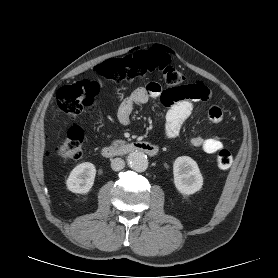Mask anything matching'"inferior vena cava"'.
Wrapping results in <instances>:
<instances>
[{"label":"inferior vena cava","mask_w":278,"mask_h":278,"mask_svg":"<svg viewBox=\"0 0 278 278\" xmlns=\"http://www.w3.org/2000/svg\"><path fill=\"white\" fill-rule=\"evenodd\" d=\"M125 167V162L123 159L121 158H114L112 161H111V168L114 170V171H120L121 169H123Z\"/></svg>","instance_id":"602c4592"}]
</instances>
